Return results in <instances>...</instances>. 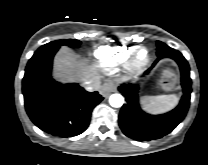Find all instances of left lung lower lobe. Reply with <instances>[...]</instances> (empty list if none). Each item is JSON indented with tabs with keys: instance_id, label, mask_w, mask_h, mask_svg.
Listing matches in <instances>:
<instances>
[{
	"instance_id": "obj_1",
	"label": "left lung lower lobe",
	"mask_w": 208,
	"mask_h": 165,
	"mask_svg": "<svg viewBox=\"0 0 208 165\" xmlns=\"http://www.w3.org/2000/svg\"><path fill=\"white\" fill-rule=\"evenodd\" d=\"M162 58L174 59L181 71L183 96L179 105L172 111L162 115L147 114L142 111L139 105L138 84L128 83L118 87L126 99V104L122 106L119 114V125L123 133L134 140L159 139L175 129L187 114L192 92L189 64L179 51L170 49L159 54L152 67ZM150 70L151 68L145 74H148Z\"/></svg>"
}]
</instances>
